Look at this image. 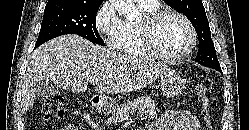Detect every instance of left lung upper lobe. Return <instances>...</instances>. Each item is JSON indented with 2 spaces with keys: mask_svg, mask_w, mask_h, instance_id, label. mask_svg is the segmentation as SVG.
Returning <instances> with one entry per match:
<instances>
[{
  "mask_svg": "<svg viewBox=\"0 0 249 130\" xmlns=\"http://www.w3.org/2000/svg\"><path fill=\"white\" fill-rule=\"evenodd\" d=\"M177 11L182 12L193 24L199 40V50L195 61L216 70L221 69L216 50L211 39V32L205 9L201 0H164Z\"/></svg>",
  "mask_w": 249,
  "mask_h": 130,
  "instance_id": "5c2ea615",
  "label": "left lung upper lobe"
}]
</instances>
